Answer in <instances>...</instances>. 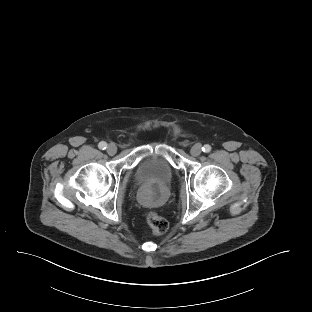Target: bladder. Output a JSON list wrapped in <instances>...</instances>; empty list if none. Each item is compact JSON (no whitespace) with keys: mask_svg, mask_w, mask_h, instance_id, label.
<instances>
[{"mask_svg":"<svg viewBox=\"0 0 312 312\" xmlns=\"http://www.w3.org/2000/svg\"><path fill=\"white\" fill-rule=\"evenodd\" d=\"M174 177V168L161 153H152L136 167L134 179L140 185L168 186Z\"/></svg>","mask_w":312,"mask_h":312,"instance_id":"1","label":"bladder"}]
</instances>
